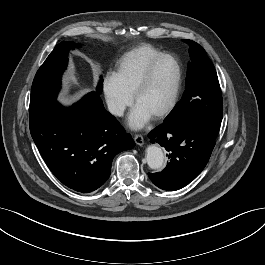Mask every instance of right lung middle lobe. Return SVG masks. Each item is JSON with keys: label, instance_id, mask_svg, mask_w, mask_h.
Wrapping results in <instances>:
<instances>
[{"label": "right lung middle lobe", "instance_id": "dd1d6c3e", "mask_svg": "<svg viewBox=\"0 0 265 265\" xmlns=\"http://www.w3.org/2000/svg\"><path fill=\"white\" fill-rule=\"evenodd\" d=\"M78 46L80 44H75L72 41L57 44L37 71L31 88L30 121L39 117L56 103V96L60 88V77L68 61V51L72 47ZM97 89L101 92L102 81Z\"/></svg>", "mask_w": 265, "mask_h": 265}]
</instances>
